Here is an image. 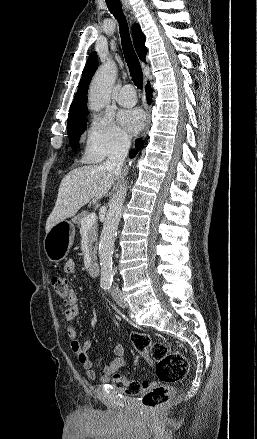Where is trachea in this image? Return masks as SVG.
I'll list each match as a JSON object with an SVG mask.
<instances>
[{
	"instance_id": "1",
	"label": "trachea",
	"mask_w": 257,
	"mask_h": 439,
	"mask_svg": "<svg viewBox=\"0 0 257 439\" xmlns=\"http://www.w3.org/2000/svg\"><path fill=\"white\" fill-rule=\"evenodd\" d=\"M109 11L118 20L122 47L125 55V60L127 62L132 81L137 86L138 89L143 88V72L139 62V59L134 51L129 28L127 24L126 17L122 10V5L119 0H106Z\"/></svg>"
}]
</instances>
